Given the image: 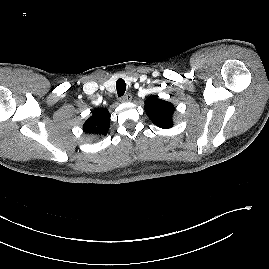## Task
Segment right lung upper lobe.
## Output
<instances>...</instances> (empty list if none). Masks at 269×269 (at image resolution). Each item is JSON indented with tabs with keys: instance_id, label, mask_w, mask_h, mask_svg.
Listing matches in <instances>:
<instances>
[{
	"instance_id": "right-lung-upper-lobe-1",
	"label": "right lung upper lobe",
	"mask_w": 269,
	"mask_h": 269,
	"mask_svg": "<svg viewBox=\"0 0 269 269\" xmlns=\"http://www.w3.org/2000/svg\"><path fill=\"white\" fill-rule=\"evenodd\" d=\"M110 126V114L107 109H94L92 116L84 123L83 130L87 134L105 135Z\"/></svg>"
}]
</instances>
